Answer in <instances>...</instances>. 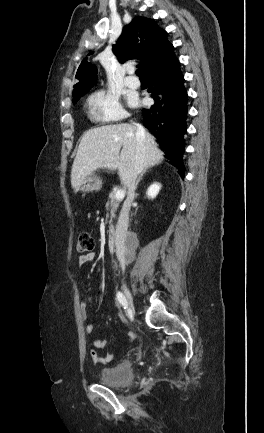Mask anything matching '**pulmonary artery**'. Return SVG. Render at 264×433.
<instances>
[{
	"label": "pulmonary artery",
	"mask_w": 264,
	"mask_h": 433,
	"mask_svg": "<svg viewBox=\"0 0 264 433\" xmlns=\"http://www.w3.org/2000/svg\"><path fill=\"white\" fill-rule=\"evenodd\" d=\"M132 73H133V71L129 70V74H132ZM125 84L128 87L135 89V88H138L140 86V81L136 77H134L133 75H130L125 79Z\"/></svg>",
	"instance_id": "e3ab8cb5"
}]
</instances>
